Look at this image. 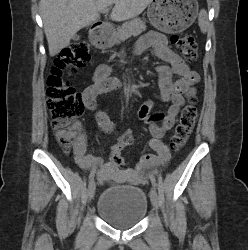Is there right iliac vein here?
<instances>
[{"mask_svg":"<svg viewBox=\"0 0 248 250\" xmlns=\"http://www.w3.org/2000/svg\"><path fill=\"white\" fill-rule=\"evenodd\" d=\"M95 189H96V184L94 182V180H92L89 185H88V189H87V197H88V201H91V199L93 198L94 194H95Z\"/></svg>","mask_w":248,"mask_h":250,"instance_id":"63e3f726","label":"right iliac vein"}]
</instances>
